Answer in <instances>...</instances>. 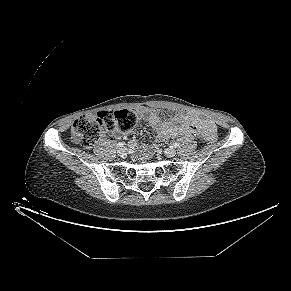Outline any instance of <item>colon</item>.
<instances>
[{"label":"colon","mask_w":291,"mask_h":291,"mask_svg":"<svg viewBox=\"0 0 291 291\" xmlns=\"http://www.w3.org/2000/svg\"><path fill=\"white\" fill-rule=\"evenodd\" d=\"M137 122V114L127 109L86 114L74 122L72 137L84 148H91L108 133L116 130L122 132L130 131L136 126ZM203 138L208 143H214L217 139L216 130L213 129L206 132Z\"/></svg>","instance_id":"1"}]
</instances>
